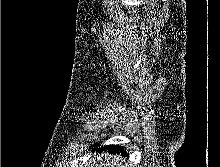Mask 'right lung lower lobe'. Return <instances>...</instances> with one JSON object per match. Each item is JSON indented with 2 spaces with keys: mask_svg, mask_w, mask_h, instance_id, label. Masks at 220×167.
Returning <instances> with one entry per match:
<instances>
[{
  "mask_svg": "<svg viewBox=\"0 0 220 167\" xmlns=\"http://www.w3.org/2000/svg\"><path fill=\"white\" fill-rule=\"evenodd\" d=\"M95 146L98 147V144H95ZM104 149H107L108 151H110V152L113 153V154L119 153V151L122 152V154H123V152H124V149H123L122 147H120V146H114V145H106L105 147H102L101 149H99V151L104 150ZM123 155H127V153L124 152Z\"/></svg>",
  "mask_w": 220,
  "mask_h": 167,
  "instance_id": "1",
  "label": "right lung lower lobe"
}]
</instances>
